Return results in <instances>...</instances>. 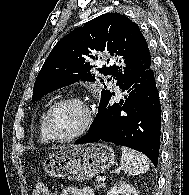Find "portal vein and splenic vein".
<instances>
[{
  "label": "portal vein and splenic vein",
  "instance_id": "1",
  "mask_svg": "<svg viewBox=\"0 0 189 195\" xmlns=\"http://www.w3.org/2000/svg\"><path fill=\"white\" fill-rule=\"evenodd\" d=\"M97 182H101L102 181V178H100V177H97Z\"/></svg>",
  "mask_w": 189,
  "mask_h": 195
}]
</instances>
